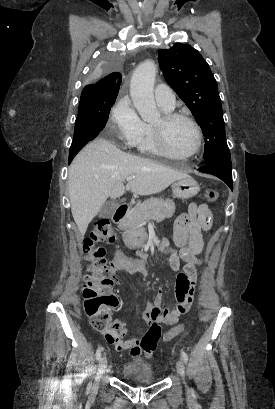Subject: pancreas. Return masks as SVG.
I'll use <instances>...</instances> for the list:
<instances>
[{
    "label": "pancreas",
    "mask_w": 275,
    "mask_h": 409,
    "mask_svg": "<svg viewBox=\"0 0 275 409\" xmlns=\"http://www.w3.org/2000/svg\"><path fill=\"white\" fill-rule=\"evenodd\" d=\"M175 205L173 200L169 198H146L141 205L133 207L128 211L121 223H118V229L125 231L123 233V241L129 249H139L143 247L147 237L145 229L139 227L147 219L151 221H163V219H170L174 215Z\"/></svg>",
    "instance_id": "1"
}]
</instances>
